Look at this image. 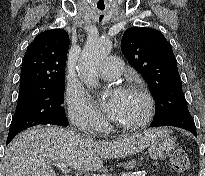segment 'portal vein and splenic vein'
<instances>
[{
    "instance_id": "18ae733b",
    "label": "portal vein and splenic vein",
    "mask_w": 205,
    "mask_h": 176,
    "mask_svg": "<svg viewBox=\"0 0 205 176\" xmlns=\"http://www.w3.org/2000/svg\"><path fill=\"white\" fill-rule=\"evenodd\" d=\"M53 165L58 166L62 170H66L68 168V165L66 163H64V162L59 163V164H53Z\"/></svg>"
}]
</instances>
